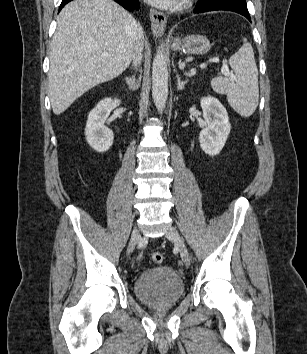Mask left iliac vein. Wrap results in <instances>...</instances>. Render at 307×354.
Wrapping results in <instances>:
<instances>
[{
	"instance_id": "left-iliac-vein-1",
	"label": "left iliac vein",
	"mask_w": 307,
	"mask_h": 354,
	"mask_svg": "<svg viewBox=\"0 0 307 354\" xmlns=\"http://www.w3.org/2000/svg\"><path fill=\"white\" fill-rule=\"evenodd\" d=\"M165 236L169 240H171L175 243V245L179 249L180 256H181L183 263L185 264L186 267H189L190 266V254H189V251H188L183 239L179 235L178 231L174 227L170 226L167 229Z\"/></svg>"
}]
</instances>
